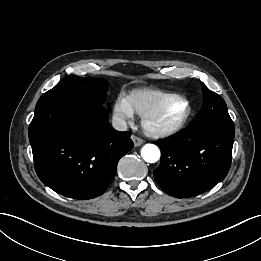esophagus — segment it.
<instances>
[{"label":"esophagus","instance_id":"esophagus-1","mask_svg":"<svg viewBox=\"0 0 261 261\" xmlns=\"http://www.w3.org/2000/svg\"><path fill=\"white\" fill-rule=\"evenodd\" d=\"M131 139H132V141H133V143H134V145L137 147V146H140L141 144H143V139L142 138H140V137H138V136H136V135H132L131 136Z\"/></svg>","mask_w":261,"mask_h":261}]
</instances>
